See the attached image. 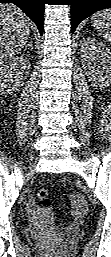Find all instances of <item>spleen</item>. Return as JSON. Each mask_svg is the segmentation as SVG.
Returning a JSON list of instances; mask_svg holds the SVG:
<instances>
[{
	"mask_svg": "<svg viewBox=\"0 0 111 257\" xmlns=\"http://www.w3.org/2000/svg\"><path fill=\"white\" fill-rule=\"evenodd\" d=\"M91 23L98 35L111 43V9L98 11L91 17Z\"/></svg>",
	"mask_w": 111,
	"mask_h": 257,
	"instance_id": "3e777b00",
	"label": "spleen"
}]
</instances>
